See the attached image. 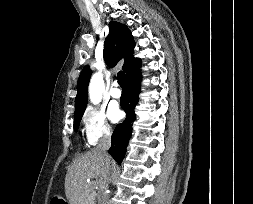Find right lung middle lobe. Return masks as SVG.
Instances as JSON below:
<instances>
[{
    "label": "right lung middle lobe",
    "instance_id": "obj_1",
    "mask_svg": "<svg viewBox=\"0 0 253 204\" xmlns=\"http://www.w3.org/2000/svg\"><path fill=\"white\" fill-rule=\"evenodd\" d=\"M84 111L74 117V130L77 132Z\"/></svg>",
    "mask_w": 253,
    "mask_h": 204
}]
</instances>
